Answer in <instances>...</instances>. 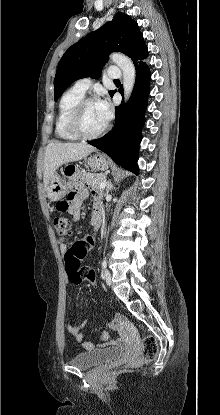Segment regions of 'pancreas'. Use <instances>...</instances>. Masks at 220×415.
Masks as SVG:
<instances>
[{"instance_id":"1","label":"pancreas","mask_w":220,"mask_h":415,"mask_svg":"<svg viewBox=\"0 0 220 415\" xmlns=\"http://www.w3.org/2000/svg\"><path fill=\"white\" fill-rule=\"evenodd\" d=\"M82 177L85 183L90 185L92 189H100V184L106 180V175L90 172H83Z\"/></svg>"}]
</instances>
